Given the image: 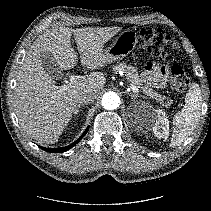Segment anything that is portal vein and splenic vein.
Instances as JSON below:
<instances>
[{
    "mask_svg": "<svg viewBox=\"0 0 211 211\" xmlns=\"http://www.w3.org/2000/svg\"><path fill=\"white\" fill-rule=\"evenodd\" d=\"M83 78V76H79V75H71L70 76V84H75L77 83L79 80H81ZM129 89L132 90L134 93H138V88L135 87L134 85L130 84Z\"/></svg>",
    "mask_w": 211,
    "mask_h": 211,
    "instance_id": "18ae733b",
    "label": "portal vein and splenic vein"
}]
</instances>
